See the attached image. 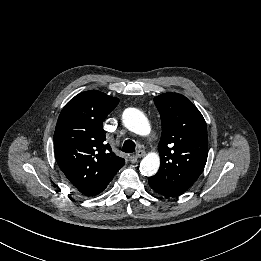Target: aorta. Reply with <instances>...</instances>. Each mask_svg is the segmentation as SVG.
Listing matches in <instances>:
<instances>
[{
  "label": "aorta",
  "instance_id": "obj_1",
  "mask_svg": "<svg viewBox=\"0 0 261 261\" xmlns=\"http://www.w3.org/2000/svg\"><path fill=\"white\" fill-rule=\"evenodd\" d=\"M124 126L139 135H148L150 133V124L147 117L136 108H127L123 115ZM160 166V157L157 153H149L140 163V172L145 176L155 175Z\"/></svg>",
  "mask_w": 261,
  "mask_h": 261
}]
</instances>
